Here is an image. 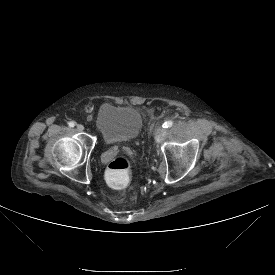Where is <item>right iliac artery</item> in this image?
Wrapping results in <instances>:
<instances>
[{
  "label": "right iliac artery",
  "mask_w": 275,
  "mask_h": 275,
  "mask_svg": "<svg viewBox=\"0 0 275 275\" xmlns=\"http://www.w3.org/2000/svg\"><path fill=\"white\" fill-rule=\"evenodd\" d=\"M68 125H69L70 127H74V126H75V122H74V121H70V122L68 123Z\"/></svg>",
  "instance_id": "1"
}]
</instances>
